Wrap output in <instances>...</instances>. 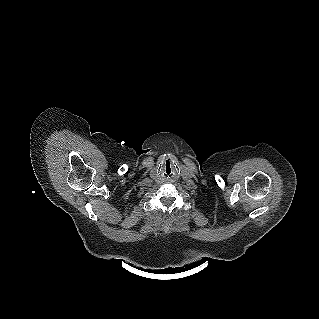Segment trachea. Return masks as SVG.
I'll return each mask as SVG.
<instances>
[{
	"label": "trachea",
	"instance_id": "3493384b",
	"mask_svg": "<svg viewBox=\"0 0 319 319\" xmlns=\"http://www.w3.org/2000/svg\"><path fill=\"white\" fill-rule=\"evenodd\" d=\"M172 170H173L172 165L169 162H167L164 166L165 174L170 175Z\"/></svg>",
	"mask_w": 319,
	"mask_h": 319
}]
</instances>
